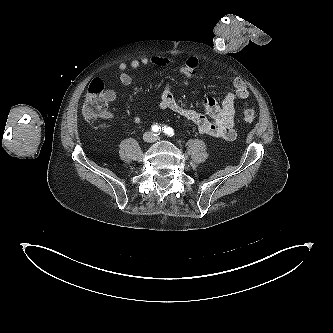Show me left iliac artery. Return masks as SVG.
Masks as SVG:
<instances>
[{"label": "left iliac artery", "instance_id": "1", "mask_svg": "<svg viewBox=\"0 0 333 333\" xmlns=\"http://www.w3.org/2000/svg\"><path fill=\"white\" fill-rule=\"evenodd\" d=\"M162 131H163V133H165L166 135H168L170 137L174 135V130L171 127L164 126V127H162Z\"/></svg>", "mask_w": 333, "mask_h": 333}]
</instances>
